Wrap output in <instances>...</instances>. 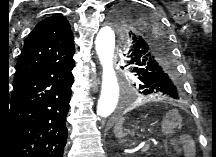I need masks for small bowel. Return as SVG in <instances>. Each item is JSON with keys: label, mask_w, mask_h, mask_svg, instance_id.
<instances>
[{"label": "small bowel", "mask_w": 216, "mask_h": 157, "mask_svg": "<svg viewBox=\"0 0 216 157\" xmlns=\"http://www.w3.org/2000/svg\"><path fill=\"white\" fill-rule=\"evenodd\" d=\"M180 143L182 145V149L185 157H192L195 153L194 142L192 138L184 134L180 137Z\"/></svg>", "instance_id": "1"}]
</instances>
